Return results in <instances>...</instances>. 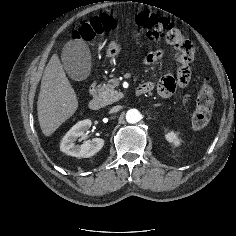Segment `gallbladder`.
Instances as JSON below:
<instances>
[{"instance_id":"obj_1","label":"gallbladder","mask_w":236,"mask_h":236,"mask_svg":"<svg viewBox=\"0 0 236 236\" xmlns=\"http://www.w3.org/2000/svg\"><path fill=\"white\" fill-rule=\"evenodd\" d=\"M62 63L69 77L76 81L85 80L91 70V55L86 43L71 40L63 47Z\"/></svg>"}]
</instances>
